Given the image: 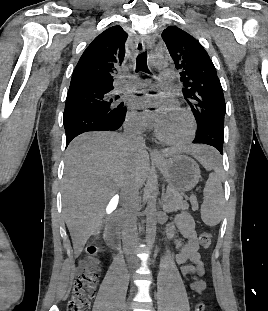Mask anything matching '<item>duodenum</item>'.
<instances>
[{"instance_id":"1","label":"duodenum","mask_w":268,"mask_h":311,"mask_svg":"<svg viewBox=\"0 0 268 311\" xmlns=\"http://www.w3.org/2000/svg\"><path fill=\"white\" fill-rule=\"evenodd\" d=\"M106 232L113 247H119L121 243V236L118 227V222L115 217L109 218L106 224Z\"/></svg>"}]
</instances>
